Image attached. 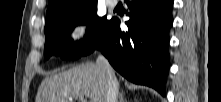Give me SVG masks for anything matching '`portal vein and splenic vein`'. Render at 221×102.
Returning <instances> with one entry per match:
<instances>
[{"mask_svg": "<svg viewBox=\"0 0 221 102\" xmlns=\"http://www.w3.org/2000/svg\"><path fill=\"white\" fill-rule=\"evenodd\" d=\"M69 99L72 100L73 98H69ZM80 99H81L82 102H85L84 97H81Z\"/></svg>", "mask_w": 221, "mask_h": 102, "instance_id": "1", "label": "portal vein and splenic vein"}]
</instances>
